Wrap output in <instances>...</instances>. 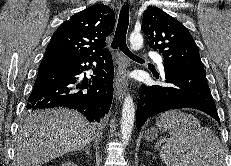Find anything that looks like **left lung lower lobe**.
Masks as SVG:
<instances>
[{"label":"left lung lower lobe","instance_id":"0a47b994","mask_svg":"<svg viewBox=\"0 0 231 166\" xmlns=\"http://www.w3.org/2000/svg\"><path fill=\"white\" fill-rule=\"evenodd\" d=\"M163 65L164 85L141 86V97L137 105V130L149 117L180 108L200 110L219 122L205 70Z\"/></svg>","mask_w":231,"mask_h":166}]
</instances>
